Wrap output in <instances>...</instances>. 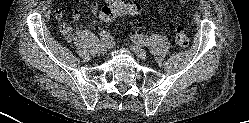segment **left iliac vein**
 <instances>
[{
    "label": "left iliac vein",
    "mask_w": 249,
    "mask_h": 123,
    "mask_svg": "<svg viewBox=\"0 0 249 123\" xmlns=\"http://www.w3.org/2000/svg\"><path fill=\"white\" fill-rule=\"evenodd\" d=\"M133 45H132V50L134 53L141 59H146L147 58V53L146 51L141 48L140 44L138 41L135 39V37L132 39Z\"/></svg>",
    "instance_id": "1"
}]
</instances>
